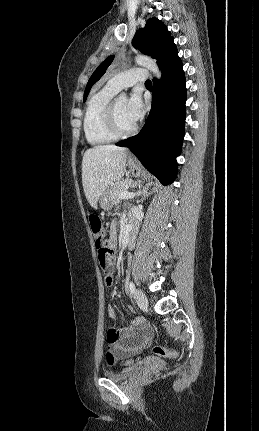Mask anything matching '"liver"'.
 <instances>
[{
    "label": "liver",
    "instance_id": "obj_1",
    "mask_svg": "<svg viewBox=\"0 0 259 431\" xmlns=\"http://www.w3.org/2000/svg\"><path fill=\"white\" fill-rule=\"evenodd\" d=\"M127 155L126 148L115 145H99L84 153L82 183L86 199L94 209L110 184L124 176Z\"/></svg>",
    "mask_w": 259,
    "mask_h": 431
}]
</instances>
